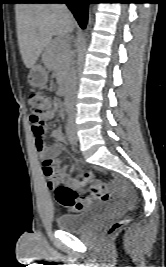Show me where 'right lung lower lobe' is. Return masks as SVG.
<instances>
[{"mask_svg":"<svg viewBox=\"0 0 166 267\" xmlns=\"http://www.w3.org/2000/svg\"><path fill=\"white\" fill-rule=\"evenodd\" d=\"M90 0H27L19 3H66L74 14L81 28H85L88 18V4Z\"/></svg>","mask_w":166,"mask_h":267,"instance_id":"1","label":"right lung lower lobe"}]
</instances>
